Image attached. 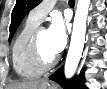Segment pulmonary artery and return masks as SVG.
<instances>
[{
    "label": "pulmonary artery",
    "mask_w": 107,
    "mask_h": 89,
    "mask_svg": "<svg viewBox=\"0 0 107 89\" xmlns=\"http://www.w3.org/2000/svg\"><path fill=\"white\" fill-rule=\"evenodd\" d=\"M56 0H45L36 6L31 12L29 13V17L35 20L36 22H41L50 10L54 7Z\"/></svg>",
    "instance_id": "obj_1"
}]
</instances>
